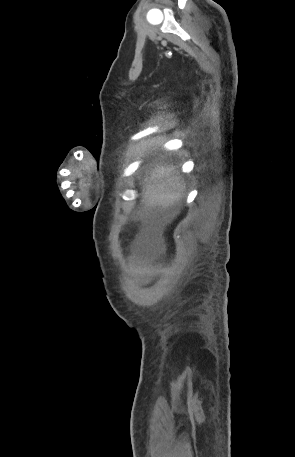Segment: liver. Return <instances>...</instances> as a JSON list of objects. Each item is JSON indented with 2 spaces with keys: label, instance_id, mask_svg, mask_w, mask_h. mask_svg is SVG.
<instances>
[{
  "label": "liver",
  "instance_id": "1",
  "mask_svg": "<svg viewBox=\"0 0 295 457\" xmlns=\"http://www.w3.org/2000/svg\"><path fill=\"white\" fill-rule=\"evenodd\" d=\"M186 185L172 165H155L142 186V212L148 213L153 208H168L176 204L183 196Z\"/></svg>",
  "mask_w": 295,
  "mask_h": 457
}]
</instances>
